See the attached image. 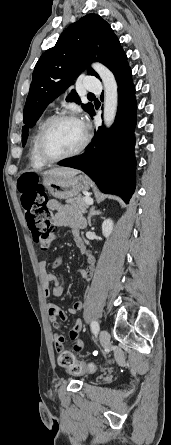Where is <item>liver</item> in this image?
<instances>
[{
	"instance_id": "6515ba94",
	"label": "liver",
	"mask_w": 171,
	"mask_h": 445,
	"mask_svg": "<svg viewBox=\"0 0 171 445\" xmlns=\"http://www.w3.org/2000/svg\"><path fill=\"white\" fill-rule=\"evenodd\" d=\"M78 174V170L71 168H54L51 170H47L43 173V175H59V176H75Z\"/></svg>"
}]
</instances>
